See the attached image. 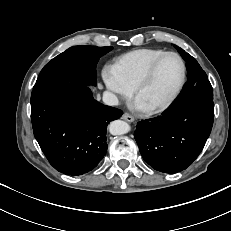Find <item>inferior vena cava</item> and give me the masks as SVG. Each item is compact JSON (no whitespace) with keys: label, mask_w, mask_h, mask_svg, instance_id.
I'll return each instance as SVG.
<instances>
[{"label":"inferior vena cava","mask_w":231,"mask_h":231,"mask_svg":"<svg viewBox=\"0 0 231 231\" xmlns=\"http://www.w3.org/2000/svg\"><path fill=\"white\" fill-rule=\"evenodd\" d=\"M102 100L108 106H116L119 102L117 96L108 91L103 93Z\"/></svg>","instance_id":"1"}]
</instances>
